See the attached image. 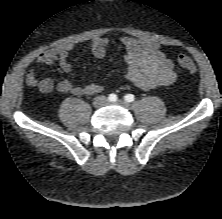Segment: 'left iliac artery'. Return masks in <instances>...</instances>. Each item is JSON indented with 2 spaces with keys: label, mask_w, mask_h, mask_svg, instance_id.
Instances as JSON below:
<instances>
[{
  "label": "left iliac artery",
  "mask_w": 222,
  "mask_h": 219,
  "mask_svg": "<svg viewBox=\"0 0 222 219\" xmlns=\"http://www.w3.org/2000/svg\"><path fill=\"white\" fill-rule=\"evenodd\" d=\"M135 97L132 94H127L126 96H124V100L127 102H132L134 101Z\"/></svg>",
  "instance_id": "obj_1"
}]
</instances>
